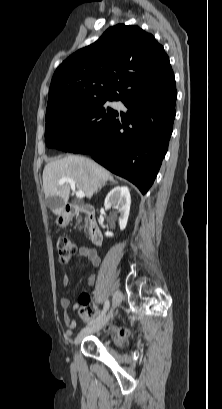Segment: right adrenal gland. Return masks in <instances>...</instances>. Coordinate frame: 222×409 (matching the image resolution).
I'll use <instances>...</instances> for the list:
<instances>
[{"instance_id": "obj_1", "label": "right adrenal gland", "mask_w": 222, "mask_h": 409, "mask_svg": "<svg viewBox=\"0 0 222 409\" xmlns=\"http://www.w3.org/2000/svg\"><path fill=\"white\" fill-rule=\"evenodd\" d=\"M110 183H111V184H114V183H115V181H114L113 178H110ZM106 184H107V183H103V184L98 188V190L96 191V194H97L104 186H106Z\"/></svg>"}]
</instances>
